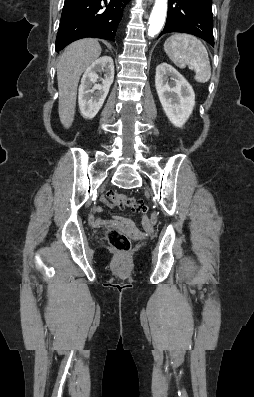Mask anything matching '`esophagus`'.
I'll return each instance as SVG.
<instances>
[{"mask_svg": "<svg viewBox=\"0 0 254 397\" xmlns=\"http://www.w3.org/2000/svg\"><path fill=\"white\" fill-rule=\"evenodd\" d=\"M149 3H152L153 2V0H147Z\"/></svg>", "mask_w": 254, "mask_h": 397, "instance_id": "obj_1", "label": "esophagus"}]
</instances>
